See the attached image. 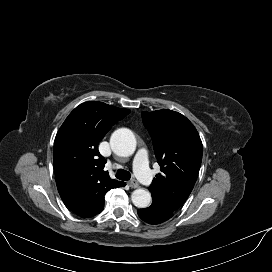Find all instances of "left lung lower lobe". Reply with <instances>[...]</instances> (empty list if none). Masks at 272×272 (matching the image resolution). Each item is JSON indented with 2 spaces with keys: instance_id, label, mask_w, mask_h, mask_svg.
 Listing matches in <instances>:
<instances>
[{
  "instance_id": "1",
  "label": "left lung lower lobe",
  "mask_w": 272,
  "mask_h": 272,
  "mask_svg": "<svg viewBox=\"0 0 272 272\" xmlns=\"http://www.w3.org/2000/svg\"><path fill=\"white\" fill-rule=\"evenodd\" d=\"M137 213L143 221L154 225L163 223L173 216L172 211L153 202L148 208L138 209Z\"/></svg>"
}]
</instances>
